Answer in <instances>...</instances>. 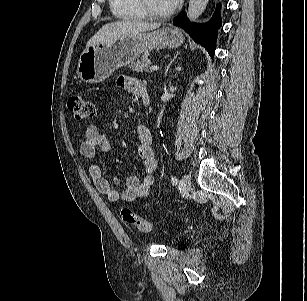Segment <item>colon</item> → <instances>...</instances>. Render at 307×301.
Returning <instances> with one entry per match:
<instances>
[{
  "instance_id": "1",
  "label": "colon",
  "mask_w": 307,
  "mask_h": 301,
  "mask_svg": "<svg viewBox=\"0 0 307 301\" xmlns=\"http://www.w3.org/2000/svg\"><path fill=\"white\" fill-rule=\"evenodd\" d=\"M68 108L77 122L83 123L90 120L95 113L94 100L80 93L73 94L68 100ZM122 220L140 232H150L152 224L150 221L139 217L129 209L121 211Z\"/></svg>"
}]
</instances>
